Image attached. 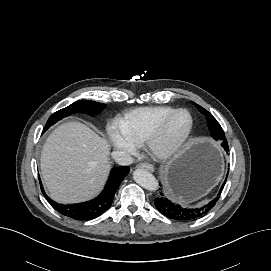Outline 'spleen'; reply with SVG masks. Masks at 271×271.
<instances>
[{
  "instance_id": "1",
  "label": "spleen",
  "mask_w": 271,
  "mask_h": 271,
  "mask_svg": "<svg viewBox=\"0 0 271 271\" xmlns=\"http://www.w3.org/2000/svg\"><path fill=\"white\" fill-rule=\"evenodd\" d=\"M204 203H207V200L200 202L199 205L204 204Z\"/></svg>"
}]
</instances>
